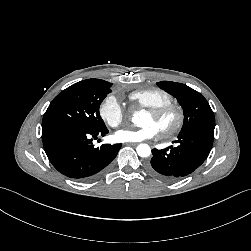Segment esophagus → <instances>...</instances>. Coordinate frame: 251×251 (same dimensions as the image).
I'll list each match as a JSON object with an SVG mask.
<instances>
[{
    "label": "esophagus",
    "mask_w": 251,
    "mask_h": 251,
    "mask_svg": "<svg viewBox=\"0 0 251 251\" xmlns=\"http://www.w3.org/2000/svg\"><path fill=\"white\" fill-rule=\"evenodd\" d=\"M126 145H129V146H136V145H138V143L128 142V143H126Z\"/></svg>",
    "instance_id": "esophagus-1"
}]
</instances>
